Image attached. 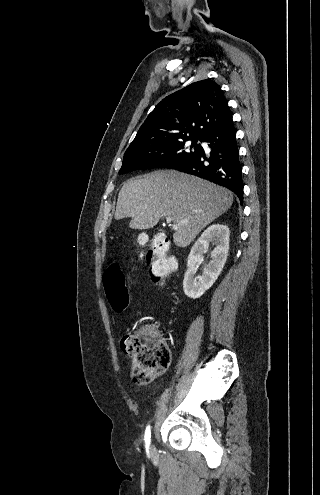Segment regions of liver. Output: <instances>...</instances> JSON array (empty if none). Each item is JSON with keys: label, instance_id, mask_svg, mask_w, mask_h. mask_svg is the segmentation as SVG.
I'll return each mask as SVG.
<instances>
[{"label": "liver", "instance_id": "liver-1", "mask_svg": "<svg viewBox=\"0 0 320 495\" xmlns=\"http://www.w3.org/2000/svg\"><path fill=\"white\" fill-rule=\"evenodd\" d=\"M233 194L208 181L173 170L127 180L118 195L115 219L131 218V229H150L171 217L173 241L188 246L199 232L225 213Z\"/></svg>", "mask_w": 320, "mask_h": 495}]
</instances>
